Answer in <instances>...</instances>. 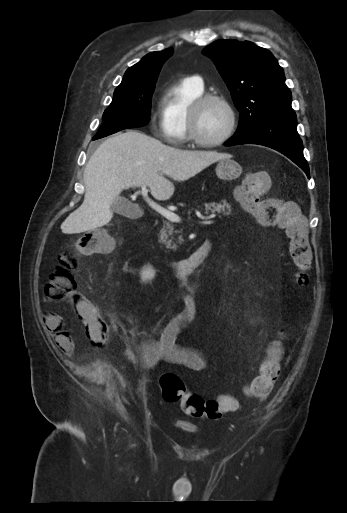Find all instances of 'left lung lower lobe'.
Wrapping results in <instances>:
<instances>
[{
    "label": "left lung lower lobe",
    "instance_id": "1",
    "mask_svg": "<svg viewBox=\"0 0 347 513\" xmlns=\"http://www.w3.org/2000/svg\"><path fill=\"white\" fill-rule=\"evenodd\" d=\"M296 128V116L270 118L258 123L243 134H235L225 145L258 144L270 147L291 159L303 169L309 178V167L304 158L302 141Z\"/></svg>",
    "mask_w": 347,
    "mask_h": 513
}]
</instances>
